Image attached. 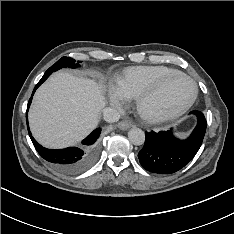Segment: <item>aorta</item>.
Listing matches in <instances>:
<instances>
[{
	"label": "aorta",
	"mask_w": 234,
	"mask_h": 234,
	"mask_svg": "<svg viewBox=\"0 0 234 234\" xmlns=\"http://www.w3.org/2000/svg\"><path fill=\"white\" fill-rule=\"evenodd\" d=\"M128 139L134 145H142L145 142V133L141 129L133 127L128 131Z\"/></svg>",
	"instance_id": "1"
}]
</instances>
